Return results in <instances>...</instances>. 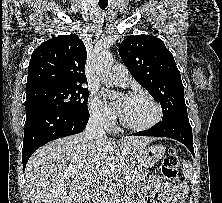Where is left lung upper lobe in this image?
Here are the masks:
<instances>
[{
  "instance_id": "left-lung-upper-lobe-1",
  "label": "left lung upper lobe",
  "mask_w": 222,
  "mask_h": 203,
  "mask_svg": "<svg viewBox=\"0 0 222 203\" xmlns=\"http://www.w3.org/2000/svg\"><path fill=\"white\" fill-rule=\"evenodd\" d=\"M119 54L135 80L160 102L163 119L187 115L180 72L161 39L130 35L120 44Z\"/></svg>"
}]
</instances>
